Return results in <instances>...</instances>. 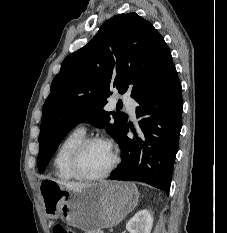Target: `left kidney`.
Wrapping results in <instances>:
<instances>
[{
	"mask_svg": "<svg viewBox=\"0 0 227 233\" xmlns=\"http://www.w3.org/2000/svg\"><path fill=\"white\" fill-rule=\"evenodd\" d=\"M153 217L148 210L137 212L126 224L129 233H150Z\"/></svg>",
	"mask_w": 227,
	"mask_h": 233,
	"instance_id": "obj_1",
	"label": "left kidney"
}]
</instances>
